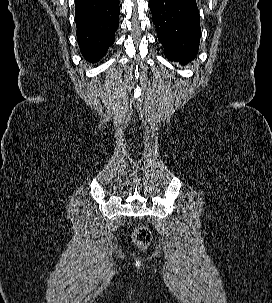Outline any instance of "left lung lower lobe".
Returning a JSON list of instances; mask_svg holds the SVG:
<instances>
[{
    "instance_id": "1",
    "label": "left lung lower lobe",
    "mask_w": 272,
    "mask_h": 303,
    "mask_svg": "<svg viewBox=\"0 0 272 303\" xmlns=\"http://www.w3.org/2000/svg\"><path fill=\"white\" fill-rule=\"evenodd\" d=\"M149 6L166 58L182 65L193 60L201 37L196 0H149Z\"/></svg>"
}]
</instances>
